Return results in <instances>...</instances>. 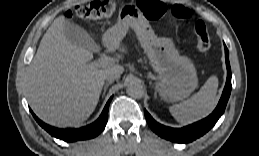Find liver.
<instances>
[{
	"instance_id": "liver-1",
	"label": "liver",
	"mask_w": 259,
	"mask_h": 156,
	"mask_svg": "<svg viewBox=\"0 0 259 156\" xmlns=\"http://www.w3.org/2000/svg\"><path fill=\"white\" fill-rule=\"evenodd\" d=\"M64 16L57 17L43 35L29 65L27 97L34 113L56 127L77 126L95 110L108 71L123 72L120 65L99 69L90 66L93 54L68 41L64 35ZM106 44L125 52L120 41L109 32Z\"/></svg>"
}]
</instances>
